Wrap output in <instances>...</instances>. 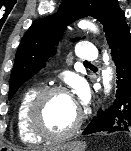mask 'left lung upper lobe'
Listing matches in <instances>:
<instances>
[{"mask_svg":"<svg viewBox=\"0 0 131 151\" xmlns=\"http://www.w3.org/2000/svg\"><path fill=\"white\" fill-rule=\"evenodd\" d=\"M84 16H92L103 24L110 46L130 34L118 0H63L56 14L38 20L22 38L10 76L9 99L55 52L53 46L57 43L61 30L68 23Z\"/></svg>","mask_w":131,"mask_h":151,"instance_id":"1","label":"left lung upper lobe"}]
</instances>
